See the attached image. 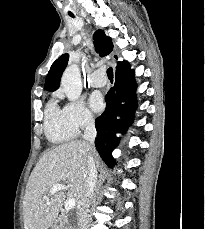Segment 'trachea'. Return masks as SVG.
Listing matches in <instances>:
<instances>
[{
    "instance_id": "3493384b",
    "label": "trachea",
    "mask_w": 205,
    "mask_h": 229,
    "mask_svg": "<svg viewBox=\"0 0 205 229\" xmlns=\"http://www.w3.org/2000/svg\"><path fill=\"white\" fill-rule=\"evenodd\" d=\"M107 75L109 79L113 78V69L111 67L107 69Z\"/></svg>"
}]
</instances>
